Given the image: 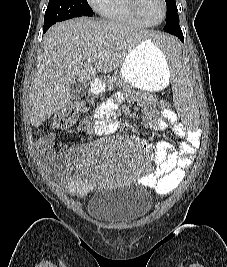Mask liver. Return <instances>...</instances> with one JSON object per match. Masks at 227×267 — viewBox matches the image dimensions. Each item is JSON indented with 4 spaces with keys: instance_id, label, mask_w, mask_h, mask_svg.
Listing matches in <instances>:
<instances>
[{
    "instance_id": "obj_1",
    "label": "liver",
    "mask_w": 227,
    "mask_h": 267,
    "mask_svg": "<svg viewBox=\"0 0 227 267\" xmlns=\"http://www.w3.org/2000/svg\"><path fill=\"white\" fill-rule=\"evenodd\" d=\"M156 32L115 21L75 18L53 25L29 94V120L38 127L69 104L70 87L92 84L97 73L117 69L139 43Z\"/></svg>"
}]
</instances>
